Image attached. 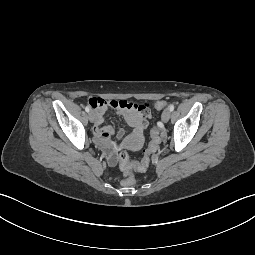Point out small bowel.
Listing matches in <instances>:
<instances>
[{"instance_id": "small-bowel-1", "label": "small bowel", "mask_w": 255, "mask_h": 255, "mask_svg": "<svg viewBox=\"0 0 255 255\" xmlns=\"http://www.w3.org/2000/svg\"><path fill=\"white\" fill-rule=\"evenodd\" d=\"M89 104L94 110L95 121L93 133L99 146L105 151L107 161L110 165L117 163V148L125 146L136 148L140 145L142 134L146 128L147 119L150 117L148 105L137 104L126 100H106L101 97H92ZM112 108L123 116L132 128V135L124 138V131L117 133V142L110 140L113 129L110 126H102L106 111Z\"/></svg>"}]
</instances>
